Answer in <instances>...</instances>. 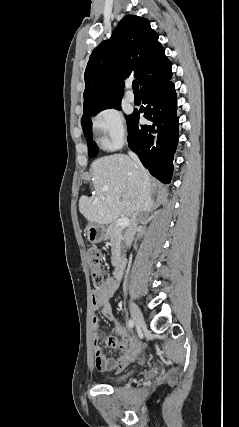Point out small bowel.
Segmentation results:
<instances>
[{"label":"small bowel","instance_id":"c3829d8e","mask_svg":"<svg viewBox=\"0 0 239 427\" xmlns=\"http://www.w3.org/2000/svg\"><path fill=\"white\" fill-rule=\"evenodd\" d=\"M118 287L119 281L117 279L107 278L101 286L92 290V308L94 310L101 309L103 317L107 320L114 319L109 300L116 293ZM92 326L94 330V365L97 370L121 371L137 358L143 345L136 337L128 333L125 327L116 323L115 330L120 337L111 336L105 341L107 346L116 348L121 352L120 356L112 358L103 352L100 345L101 330L96 316L92 319Z\"/></svg>","mask_w":239,"mask_h":427}]
</instances>
